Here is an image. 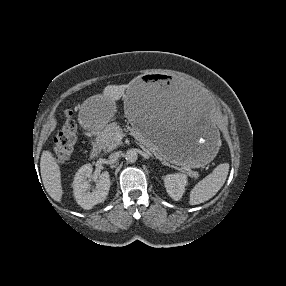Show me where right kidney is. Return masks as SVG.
<instances>
[{
  "mask_svg": "<svg viewBox=\"0 0 286 286\" xmlns=\"http://www.w3.org/2000/svg\"><path fill=\"white\" fill-rule=\"evenodd\" d=\"M93 167L91 164L83 165L76 173L73 181V192L76 202L84 209L105 201L110 189V175L107 171L99 175L96 189L89 191Z\"/></svg>",
  "mask_w": 286,
  "mask_h": 286,
  "instance_id": "obj_1",
  "label": "right kidney"
}]
</instances>
